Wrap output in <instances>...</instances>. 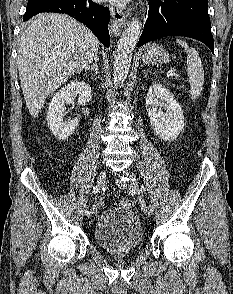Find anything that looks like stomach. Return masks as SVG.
Returning a JSON list of instances; mask_svg holds the SVG:
<instances>
[{
    "mask_svg": "<svg viewBox=\"0 0 233 294\" xmlns=\"http://www.w3.org/2000/svg\"><path fill=\"white\" fill-rule=\"evenodd\" d=\"M141 58L144 63L158 65L167 62L168 53L158 44L149 43L143 47Z\"/></svg>",
    "mask_w": 233,
    "mask_h": 294,
    "instance_id": "stomach-1",
    "label": "stomach"
}]
</instances>
